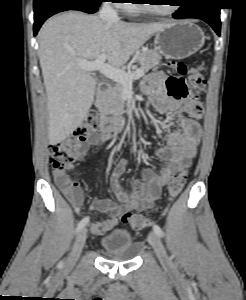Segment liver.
<instances>
[{
	"label": "liver",
	"mask_w": 246,
	"mask_h": 300,
	"mask_svg": "<svg viewBox=\"0 0 246 300\" xmlns=\"http://www.w3.org/2000/svg\"><path fill=\"white\" fill-rule=\"evenodd\" d=\"M166 23L103 22L69 11L46 21L38 34L39 61L47 94L48 139L56 145L82 123L95 96L96 82L79 66L105 54L108 64L124 65Z\"/></svg>",
	"instance_id": "obj_1"
}]
</instances>
